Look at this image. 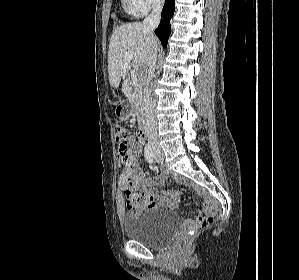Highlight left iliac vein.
<instances>
[{
  "label": "left iliac vein",
  "instance_id": "left-iliac-vein-1",
  "mask_svg": "<svg viewBox=\"0 0 299 280\" xmlns=\"http://www.w3.org/2000/svg\"><path fill=\"white\" fill-rule=\"evenodd\" d=\"M154 155H155L156 162H158V163L163 162L164 155H163V153H162V151L160 149H156Z\"/></svg>",
  "mask_w": 299,
  "mask_h": 280
}]
</instances>
